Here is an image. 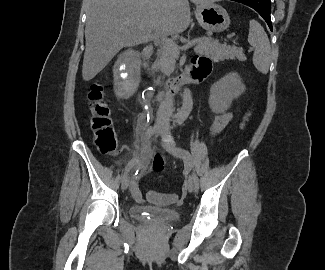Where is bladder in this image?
<instances>
[{"label":"bladder","mask_w":325,"mask_h":270,"mask_svg":"<svg viewBox=\"0 0 325 270\" xmlns=\"http://www.w3.org/2000/svg\"><path fill=\"white\" fill-rule=\"evenodd\" d=\"M130 215L135 219H150L160 223H170L180 219V213L175 209L139 204L131 205Z\"/></svg>","instance_id":"1"}]
</instances>
